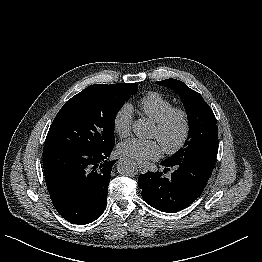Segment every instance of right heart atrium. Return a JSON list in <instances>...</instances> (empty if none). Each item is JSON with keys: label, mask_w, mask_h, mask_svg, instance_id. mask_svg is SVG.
Returning a JSON list of instances; mask_svg holds the SVG:
<instances>
[{"label": "right heart atrium", "mask_w": 262, "mask_h": 262, "mask_svg": "<svg viewBox=\"0 0 262 262\" xmlns=\"http://www.w3.org/2000/svg\"><path fill=\"white\" fill-rule=\"evenodd\" d=\"M133 124V109L129 104H123L113 117L114 132L120 137L130 135Z\"/></svg>", "instance_id": "right-heart-atrium-1"}]
</instances>
